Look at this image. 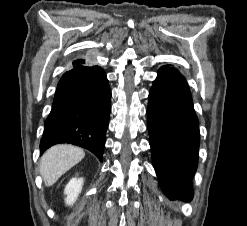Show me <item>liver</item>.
Instances as JSON below:
<instances>
[{
    "instance_id": "6515ba94",
    "label": "liver",
    "mask_w": 247,
    "mask_h": 226,
    "mask_svg": "<svg viewBox=\"0 0 247 226\" xmlns=\"http://www.w3.org/2000/svg\"><path fill=\"white\" fill-rule=\"evenodd\" d=\"M85 152L76 146L59 144L48 149L40 162V174L46 186L53 185L64 173L79 163Z\"/></svg>"
}]
</instances>
